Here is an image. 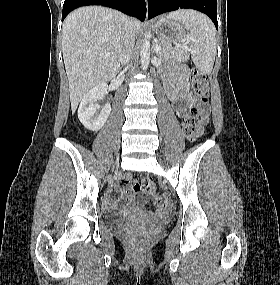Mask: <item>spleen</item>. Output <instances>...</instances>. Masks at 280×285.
I'll return each mask as SVG.
<instances>
[{"mask_svg":"<svg viewBox=\"0 0 280 285\" xmlns=\"http://www.w3.org/2000/svg\"><path fill=\"white\" fill-rule=\"evenodd\" d=\"M183 24L191 33L190 51L196 67L205 74H210L216 55V31L211 20L193 10H179L167 16Z\"/></svg>","mask_w":280,"mask_h":285,"instance_id":"obj_1","label":"spleen"}]
</instances>
